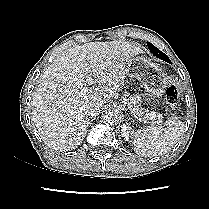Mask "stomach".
I'll use <instances>...</instances> for the list:
<instances>
[{
    "instance_id": "1",
    "label": "stomach",
    "mask_w": 209,
    "mask_h": 209,
    "mask_svg": "<svg viewBox=\"0 0 209 209\" xmlns=\"http://www.w3.org/2000/svg\"><path fill=\"white\" fill-rule=\"evenodd\" d=\"M128 76L138 79L142 87L156 98L162 97L169 83V77L156 63L144 57H133L128 64Z\"/></svg>"
}]
</instances>
